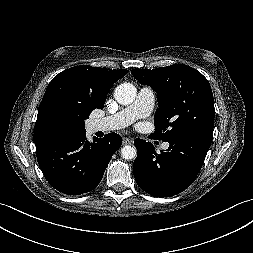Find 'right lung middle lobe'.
Here are the masks:
<instances>
[{
    "label": "right lung middle lobe",
    "instance_id": "1",
    "mask_svg": "<svg viewBox=\"0 0 253 253\" xmlns=\"http://www.w3.org/2000/svg\"><path fill=\"white\" fill-rule=\"evenodd\" d=\"M99 108L88 100L73 101L60 97L51 98L42 115V130L45 134L85 133L84 121L93 109Z\"/></svg>",
    "mask_w": 253,
    "mask_h": 253
}]
</instances>
